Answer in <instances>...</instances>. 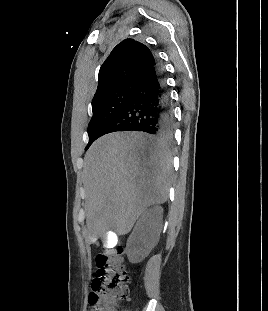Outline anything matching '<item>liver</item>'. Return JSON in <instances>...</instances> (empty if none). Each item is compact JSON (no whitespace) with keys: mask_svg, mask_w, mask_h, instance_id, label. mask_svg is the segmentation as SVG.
Masks as SVG:
<instances>
[{"mask_svg":"<svg viewBox=\"0 0 268 311\" xmlns=\"http://www.w3.org/2000/svg\"><path fill=\"white\" fill-rule=\"evenodd\" d=\"M172 159L141 133L115 132L96 140L84 157L88 244L109 231L129 233L148 206L166 202Z\"/></svg>","mask_w":268,"mask_h":311,"instance_id":"liver-1","label":"liver"}]
</instances>
